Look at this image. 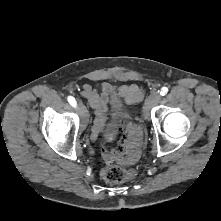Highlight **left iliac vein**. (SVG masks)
Segmentation results:
<instances>
[{"instance_id": "obj_1", "label": "left iliac vein", "mask_w": 221, "mask_h": 221, "mask_svg": "<svg viewBox=\"0 0 221 221\" xmlns=\"http://www.w3.org/2000/svg\"><path fill=\"white\" fill-rule=\"evenodd\" d=\"M160 101V94L158 92H152L146 99L144 106L145 118L149 119L150 110Z\"/></svg>"}]
</instances>
